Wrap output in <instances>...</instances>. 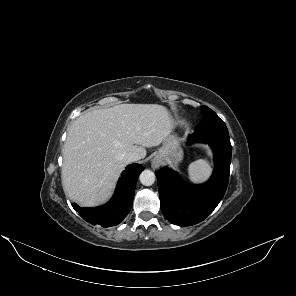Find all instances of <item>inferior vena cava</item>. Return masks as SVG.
<instances>
[{"mask_svg": "<svg viewBox=\"0 0 296 296\" xmlns=\"http://www.w3.org/2000/svg\"><path fill=\"white\" fill-rule=\"evenodd\" d=\"M123 159L126 163H131L140 160V156L135 152H127L123 155Z\"/></svg>", "mask_w": 296, "mask_h": 296, "instance_id": "602c4592", "label": "inferior vena cava"}]
</instances>
